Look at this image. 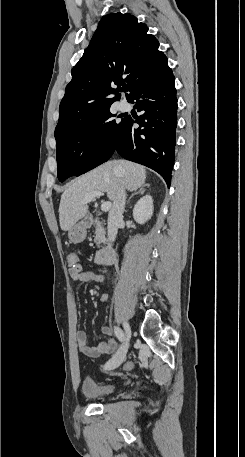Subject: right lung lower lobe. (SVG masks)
<instances>
[{
    "label": "right lung lower lobe",
    "mask_w": 245,
    "mask_h": 457,
    "mask_svg": "<svg viewBox=\"0 0 245 457\" xmlns=\"http://www.w3.org/2000/svg\"><path fill=\"white\" fill-rule=\"evenodd\" d=\"M174 76L170 68L140 84L131 94L137 111L143 114L135 120L122 119L115 151L125 159L143 164L171 182L174 165L177 98ZM138 123L139 128L133 124Z\"/></svg>",
    "instance_id": "obj_1"
}]
</instances>
